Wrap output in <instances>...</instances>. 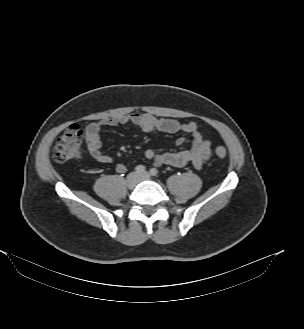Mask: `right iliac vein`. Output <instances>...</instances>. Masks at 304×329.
<instances>
[{"mask_svg":"<svg viewBox=\"0 0 304 329\" xmlns=\"http://www.w3.org/2000/svg\"><path fill=\"white\" fill-rule=\"evenodd\" d=\"M138 183V176L136 173H130L126 178V186L129 189H132L136 186Z\"/></svg>","mask_w":304,"mask_h":329,"instance_id":"1","label":"right iliac vein"}]
</instances>
